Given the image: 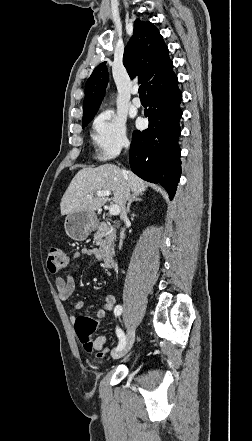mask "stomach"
I'll return each mask as SVG.
<instances>
[{"mask_svg": "<svg viewBox=\"0 0 252 441\" xmlns=\"http://www.w3.org/2000/svg\"><path fill=\"white\" fill-rule=\"evenodd\" d=\"M96 223L97 218L94 212L76 211L66 216L64 226L71 239L83 241L95 229Z\"/></svg>", "mask_w": 252, "mask_h": 441, "instance_id": "stomach-1", "label": "stomach"}]
</instances>
